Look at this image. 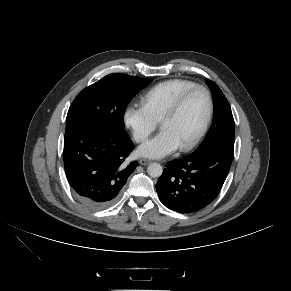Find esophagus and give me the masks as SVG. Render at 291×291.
Instances as JSON below:
<instances>
[{
  "label": "esophagus",
  "instance_id": "obj_1",
  "mask_svg": "<svg viewBox=\"0 0 291 291\" xmlns=\"http://www.w3.org/2000/svg\"><path fill=\"white\" fill-rule=\"evenodd\" d=\"M139 163L141 164V165H148L149 163H151V161L150 160H148V159H144V158H142V159H140L139 160Z\"/></svg>",
  "mask_w": 291,
  "mask_h": 291
}]
</instances>
